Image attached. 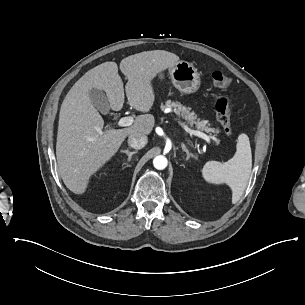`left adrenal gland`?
Returning <instances> with one entry per match:
<instances>
[{"label":"left adrenal gland","instance_id":"obj_1","mask_svg":"<svg viewBox=\"0 0 305 305\" xmlns=\"http://www.w3.org/2000/svg\"><path fill=\"white\" fill-rule=\"evenodd\" d=\"M183 151L186 152L187 154V160L189 161L190 158H194V156L192 154H190V152L188 151V149H186L185 147H183Z\"/></svg>","mask_w":305,"mask_h":305}]
</instances>
